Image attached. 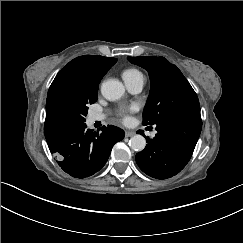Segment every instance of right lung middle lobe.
I'll return each instance as SVG.
<instances>
[{"label": "right lung middle lobe", "mask_w": 243, "mask_h": 243, "mask_svg": "<svg viewBox=\"0 0 243 243\" xmlns=\"http://www.w3.org/2000/svg\"><path fill=\"white\" fill-rule=\"evenodd\" d=\"M98 88L71 87L54 98L50 116L56 127L84 123L88 105L97 101Z\"/></svg>", "instance_id": "obj_1"}]
</instances>
